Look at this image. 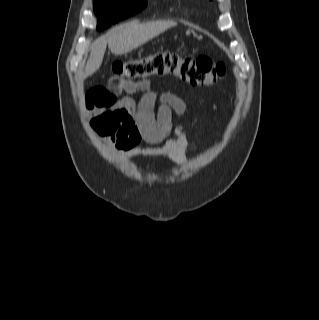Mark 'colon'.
Instances as JSON below:
<instances>
[{
	"mask_svg": "<svg viewBox=\"0 0 319 320\" xmlns=\"http://www.w3.org/2000/svg\"><path fill=\"white\" fill-rule=\"evenodd\" d=\"M113 73L115 76L112 82L117 85H130L154 76L173 75L191 85L211 86L225 75L226 67L206 56L160 51L136 60L116 62L113 65ZM118 128L130 145L142 141L159 143L170 132L168 128L157 125L149 117L135 120L125 116Z\"/></svg>",
	"mask_w": 319,
	"mask_h": 320,
	"instance_id": "colon-1",
	"label": "colon"
}]
</instances>
